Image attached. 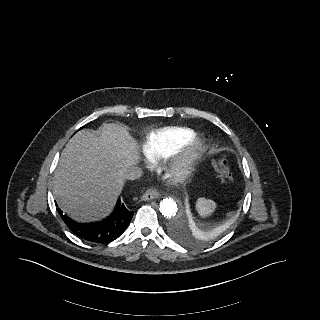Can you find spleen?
Segmentation results:
<instances>
[{
	"instance_id": "3e777b00",
	"label": "spleen",
	"mask_w": 320,
	"mask_h": 320,
	"mask_svg": "<svg viewBox=\"0 0 320 320\" xmlns=\"http://www.w3.org/2000/svg\"><path fill=\"white\" fill-rule=\"evenodd\" d=\"M196 208L198 213L202 216H208L215 211L216 203L212 200L200 198L197 201Z\"/></svg>"
}]
</instances>
